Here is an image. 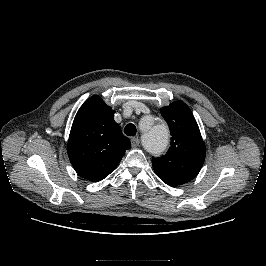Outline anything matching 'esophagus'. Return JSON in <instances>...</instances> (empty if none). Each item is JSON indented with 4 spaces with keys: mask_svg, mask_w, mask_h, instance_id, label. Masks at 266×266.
<instances>
[{
    "mask_svg": "<svg viewBox=\"0 0 266 266\" xmlns=\"http://www.w3.org/2000/svg\"><path fill=\"white\" fill-rule=\"evenodd\" d=\"M139 143H140V140L138 138L133 137L131 139V145H132L133 148H136L139 145Z\"/></svg>",
    "mask_w": 266,
    "mask_h": 266,
    "instance_id": "34e87169",
    "label": "esophagus"
}]
</instances>
